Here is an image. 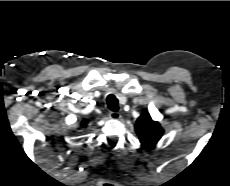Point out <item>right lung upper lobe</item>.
Listing matches in <instances>:
<instances>
[{
	"label": "right lung upper lobe",
	"instance_id": "obj_1",
	"mask_svg": "<svg viewBox=\"0 0 230 186\" xmlns=\"http://www.w3.org/2000/svg\"><path fill=\"white\" fill-rule=\"evenodd\" d=\"M87 123H88V120H83L82 123H81V124H82V127H83L84 125H86Z\"/></svg>",
	"mask_w": 230,
	"mask_h": 186
}]
</instances>
